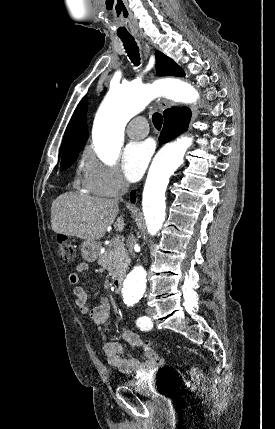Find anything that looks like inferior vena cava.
Wrapping results in <instances>:
<instances>
[{
	"label": "inferior vena cava",
	"mask_w": 275,
	"mask_h": 429,
	"mask_svg": "<svg viewBox=\"0 0 275 429\" xmlns=\"http://www.w3.org/2000/svg\"><path fill=\"white\" fill-rule=\"evenodd\" d=\"M128 187H129V184H128L127 182H125V181H122V182H121V187H120V189H121V191H120V196H119V197H116V199H115V200H119V199L121 198V196H122L125 192H127ZM134 242H135V238H134V236L131 234V236H129V237H128V240H127L128 251H129L131 254L133 253V244H134ZM133 255H134V254H133Z\"/></svg>",
	"instance_id": "inferior-vena-cava-1"
}]
</instances>
